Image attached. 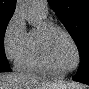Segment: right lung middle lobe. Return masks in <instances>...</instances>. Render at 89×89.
<instances>
[{
    "instance_id": "right-lung-middle-lobe-1",
    "label": "right lung middle lobe",
    "mask_w": 89,
    "mask_h": 89,
    "mask_svg": "<svg viewBox=\"0 0 89 89\" xmlns=\"http://www.w3.org/2000/svg\"><path fill=\"white\" fill-rule=\"evenodd\" d=\"M12 15V13H0V67L3 64L9 66L4 51V34Z\"/></svg>"
}]
</instances>
